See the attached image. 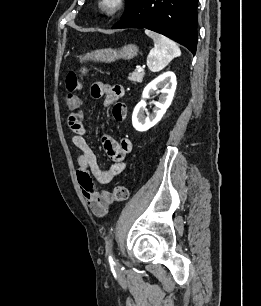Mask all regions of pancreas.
Segmentation results:
<instances>
[{
  "label": "pancreas",
  "instance_id": "cf45deb5",
  "mask_svg": "<svg viewBox=\"0 0 261 306\" xmlns=\"http://www.w3.org/2000/svg\"><path fill=\"white\" fill-rule=\"evenodd\" d=\"M144 75H145L144 71L142 72L135 71L128 76V79L134 83H142Z\"/></svg>",
  "mask_w": 261,
  "mask_h": 306
}]
</instances>
